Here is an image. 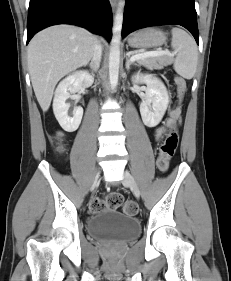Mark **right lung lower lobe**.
I'll list each match as a JSON object with an SVG mask.
<instances>
[{
	"instance_id": "98d812e1",
	"label": "right lung lower lobe",
	"mask_w": 231,
	"mask_h": 281,
	"mask_svg": "<svg viewBox=\"0 0 231 281\" xmlns=\"http://www.w3.org/2000/svg\"><path fill=\"white\" fill-rule=\"evenodd\" d=\"M72 24L111 39L112 10L109 0H30L27 43L41 29Z\"/></svg>"
}]
</instances>
